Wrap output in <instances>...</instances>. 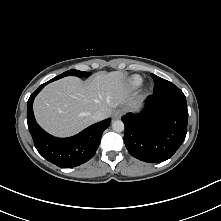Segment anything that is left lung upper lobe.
<instances>
[{
	"label": "left lung upper lobe",
	"instance_id": "left-lung-upper-lobe-1",
	"mask_svg": "<svg viewBox=\"0 0 221 221\" xmlns=\"http://www.w3.org/2000/svg\"><path fill=\"white\" fill-rule=\"evenodd\" d=\"M151 76L154 80V92L155 93L179 89L173 83L161 77H158L154 74H151Z\"/></svg>",
	"mask_w": 221,
	"mask_h": 221
}]
</instances>
